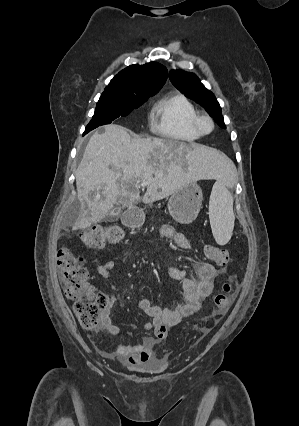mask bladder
<instances>
[{
  "instance_id": "31cf9c89",
  "label": "bladder",
  "mask_w": 299,
  "mask_h": 426,
  "mask_svg": "<svg viewBox=\"0 0 299 426\" xmlns=\"http://www.w3.org/2000/svg\"><path fill=\"white\" fill-rule=\"evenodd\" d=\"M163 365L159 361H148L131 366V370L141 374H156L161 372Z\"/></svg>"
}]
</instances>
